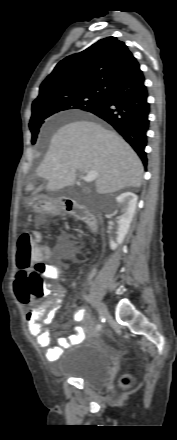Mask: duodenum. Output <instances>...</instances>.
Masks as SVG:
<instances>
[{
  "label": "duodenum",
  "instance_id": "duodenum-1",
  "mask_svg": "<svg viewBox=\"0 0 177 440\" xmlns=\"http://www.w3.org/2000/svg\"><path fill=\"white\" fill-rule=\"evenodd\" d=\"M61 209L62 211L70 213L85 222L92 231L96 230L97 221L84 205H81L71 199H65L63 200Z\"/></svg>",
  "mask_w": 177,
  "mask_h": 440
}]
</instances>
